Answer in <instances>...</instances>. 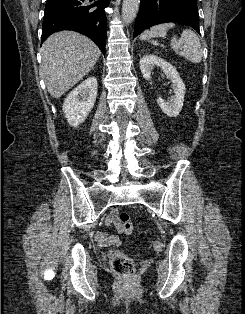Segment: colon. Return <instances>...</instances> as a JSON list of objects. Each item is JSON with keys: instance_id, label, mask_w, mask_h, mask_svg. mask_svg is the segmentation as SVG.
I'll use <instances>...</instances> for the list:
<instances>
[{"instance_id": "5ec220e1", "label": "colon", "mask_w": 245, "mask_h": 314, "mask_svg": "<svg viewBox=\"0 0 245 314\" xmlns=\"http://www.w3.org/2000/svg\"><path fill=\"white\" fill-rule=\"evenodd\" d=\"M117 221L122 232L129 235L133 231V224L130 216L126 212H120L117 215ZM162 242L157 240L153 243V249L159 251L162 249ZM111 267L118 275L125 279H131L135 271V265L130 257L117 251L112 250L109 253Z\"/></svg>"}]
</instances>
